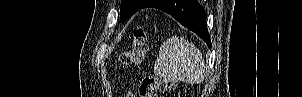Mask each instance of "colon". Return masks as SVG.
<instances>
[{"mask_svg":"<svg viewBox=\"0 0 302 97\" xmlns=\"http://www.w3.org/2000/svg\"><path fill=\"white\" fill-rule=\"evenodd\" d=\"M148 51V40L142 27H136L133 31L132 48L123 51L119 61L123 65L139 64L143 61ZM175 87V82L162 80L155 76L144 77L139 86L140 97H157L158 92H166Z\"/></svg>","mask_w":302,"mask_h":97,"instance_id":"colon-1","label":"colon"}]
</instances>
